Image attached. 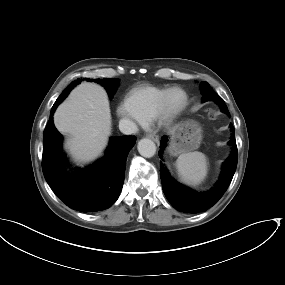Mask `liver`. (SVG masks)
I'll list each match as a JSON object with an SVG mask.
<instances>
[{
    "label": "liver",
    "mask_w": 285,
    "mask_h": 285,
    "mask_svg": "<svg viewBox=\"0 0 285 285\" xmlns=\"http://www.w3.org/2000/svg\"><path fill=\"white\" fill-rule=\"evenodd\" d=\"M56 128L70 138L65 148L81 163L101 155L111 134V113L106 91L94 83H81L54 114Z\"/></svg>",
    "instance_id": "obj_1"
}]
</instances>
